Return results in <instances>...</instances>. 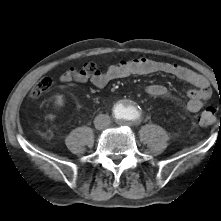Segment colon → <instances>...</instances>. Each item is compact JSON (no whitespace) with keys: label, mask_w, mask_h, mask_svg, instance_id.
<instances>
[{"label":"colon","mask_w":221,"mask_h":221,"mask_svg":"<svg viewBox=\"0 0 221 221\" xmlns=\"http://www.w3.org/2000/svg\"><path fill=\"white\" fill-rule=\"evenodd\" d=\"M86 72H95L96 65L94 63H87L84 66ZM53 85V79L51 77L41 78L36 85L32 88L30 95L32 97H39L42 94L48 92ZM217 120V113L213 107H205L199 114L198 122L201 126H212Z\"/></svg>","instance_id":"1"}]
</instances>
